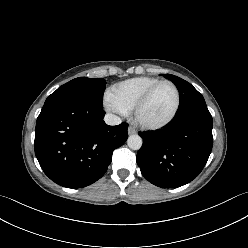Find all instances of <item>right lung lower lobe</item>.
Listing matches in <instances>:
<instances>
[{
    "mask_svg": "<svg viewBox=\"0 0 248 248\" xmlns=\"http://www.w3.org/2000/svg\"><path fill=\"white\" fill-rule=\"evenodd\" d=\"M104 115L103 107L75 98L44 104L37 118L34 148L52 181L82 188L104 175L113 151L128 137L126 123L109 126Z\"/></svg>",
    "mask_w": 248,
    "mask_h": 248,
    "instance_id": "obj_1",
    "label": "right lung lower lobe"
}]
</instances>
